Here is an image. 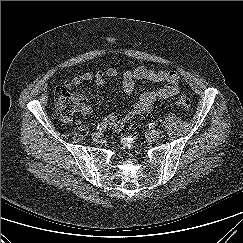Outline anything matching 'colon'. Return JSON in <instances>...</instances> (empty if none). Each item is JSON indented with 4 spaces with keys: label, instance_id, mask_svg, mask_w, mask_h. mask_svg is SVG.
<instances>
[{
    "label": "colon",
    "instance_id": "colon-1",
    "mask_svg": "<svg viewBox=\"0 0 243 243\" xmlns=\"http://www.w3.org/2000/svg\"><path fill=\"white\" fill-rule=\"evenodd\" d=\"M54 100L57 115L64 121L70 120L78 106L72 93L64 87H57ZM175 104L183 110H188L191 107V99L185 94H180L176 97Z\"/></svg>",
    "mask_w": 243,
    "mask_h": 243
}]
</instances>
